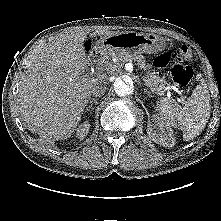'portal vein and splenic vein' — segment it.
<instances>
[{
  "mask_svg": "<svg viewBox=\"0 0 221 221\" xmlns=\"http://www.w3.org/2000/svg\"><path fill=\"white\" fill-rule=\"evenodd\" d=\"M172 89H175V88L172 87V86H168V87L165 88L166 91H169V90H172Z\"/></svg>",
  "mask_w": 221,
  "mask_h": 221,
  "instance_id": "portal-vein-and-splenic-vein-1",
  "label": "portal vein and splenic vein"
}]
</instances>
